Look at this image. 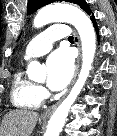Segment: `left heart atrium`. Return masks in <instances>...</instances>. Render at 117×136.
<instances>
[{"mask_svg":"<svg viewBox=\"0 0 117 136\" xmlns=\"http://www.w3.org/2000/svg\"><path fill=\"white\" fill-rule=\"evenodd\" d=\"M47 84L51 90L59 91L67 86L74 71V60L68 49L60 48L47 59Z\"/></svg>","mask_w":117,"mask_h":136,"instance_id":"left-heart-atrium-1","label":"left heart atrium"}]
</instances>
